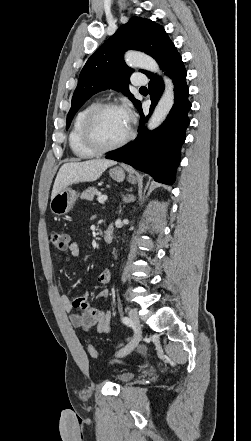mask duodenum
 I'll return each instance as SVG.
<instances>
[{
  "label": "duodenum",
  "mask_w": 251,
  "mask_h": 441,
  "mask_svg": "<svg viewBox=\"0 0 251 441\" xmlns=\"http://www.w3.org/2000/svg\"><path fill=\"white\" fill-rule=\"evenodd\" d=\"M114 237V227L112 224L108 225L103 233V240L105 243H111Z\"/></svg>",
  "instance_id": "obj_1"
}]
</instances>
